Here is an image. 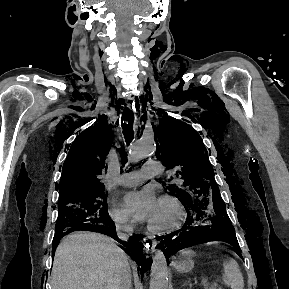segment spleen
Returning a JSON list of instances; mask_svg holds the SVG:
<instances>
[{"mask_svg":"<svg viewBox=\"0 0 289 289\" xmlns=\"http://www.w3.org/2000/svg\"><path fill=\"white\" fill-rule=\"evenodd\" d=\"M223 279L231 289H243L244 279L238 263L234 259H229L223 263Z\"/></svg>","mask_w":289,"mask_h":289,"instance_id":"3e777b00","label":"spleen"}]
</instances>
